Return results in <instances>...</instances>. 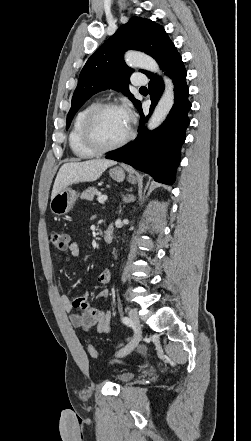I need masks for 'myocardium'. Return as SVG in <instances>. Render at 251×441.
<instances>
[{
	"mask_svg": "<svg viewBox=\"0 0 251 441\" xmlns=\"http://www.w3.org/2000/svg\"><path fill=\"white\" fill-rule=\"evenodd\" d=\"M109 109H122L125 110L121 105L115 102H103L98 103L94 107H92L89 112L86 114L83 124H82V140L83 143L93 152L100 154L106 153L109 151H113L119 149L126 145L134 136V127H133V119L129 115V130L125 137H123L120 141L112 144V145H101L97 142L93 134V123L96 117L105 110ZM126 111V110H125Z\"/></svg>",
	"mask_w": 251,
	"mask_h": 441,
	"instance_id": "1",
	"label": "myocardium"
}]
</instances>
